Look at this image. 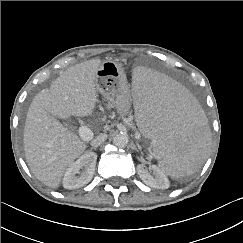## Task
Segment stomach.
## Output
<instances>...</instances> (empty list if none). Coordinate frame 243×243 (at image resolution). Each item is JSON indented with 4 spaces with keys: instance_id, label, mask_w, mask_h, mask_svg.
Returning <instances> with one entry per match:
<instances>
[{
    "instance_id": "obj_1",
    "label": "stomach",
    "mask_w": 243,
    "mask_h": 243,
    "mask_svg": "<svg viewBox=\"0 0 243 243\" xmlns=\"http://www.w3.org/2000/svg\"><path fill=\"white\" fill-rule=\"evenodd\" d=\"M97 90L124 116L130 110V86L123 68L114 61H104L96 73Z\"/></svg>"
}]
</instances>
